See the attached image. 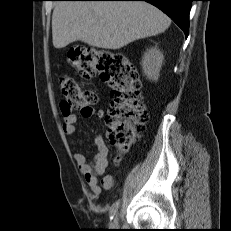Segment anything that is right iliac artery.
Returning <instances> with one entry per match:
<instances>
[{"label": "right iliac artery", "mask_w": 231, "mask_h": 231, "mask_svg": "<svg viewBox=\"0 0 231 231\" xmlns=\"http://www.w3.org/2000/svg\"><path fill=\"white\" fill-rule=\"evenodd\" d=\"M118 208H119V201L113 203V205L110 208V212L109 213H110L111 218H113V216L116 213V211L118 210Z\"/></svg>", "instance_id": "right-iliac-artery-1"}]
</instances>
